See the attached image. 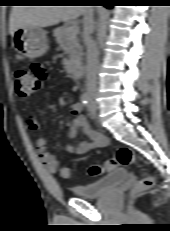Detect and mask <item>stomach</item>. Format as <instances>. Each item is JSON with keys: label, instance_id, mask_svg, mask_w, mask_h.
Returning <instances> with one entry per match:
<instances>
[{"label": "stomach", "instance_id": "0dacf381", "mask_svg": "<svg viewBox=\"0 0 170 231\" xmlns=\"http://www.w3.org/2000/svg\"><path fill=\"white\" fill-rule=\"evenodd\" d=\"M12 44L20 55L31 59L42 56L48 50L46 31L36 26L17 29L12 35Z\"/></svg>", "mask_w": 170, "mask_h": 231}]
</instances>
